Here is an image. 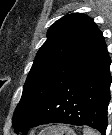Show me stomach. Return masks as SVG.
<instances>
[{"label":"stomach","mask_w":112,"mask_h":135,"mask_svg":"<svg viewBox=\"0 0 112 135\" xmlns=\"http://www.w3.org/2000/svg\"><path fill=\"white\" fill-rule=\"evenodd\" d=\"M47 134L50 135H75V133L68 128L67 126H53L49 129V131L47 132Z\"/></svg>","instance_id":"stomach-1"}]
</instances>
